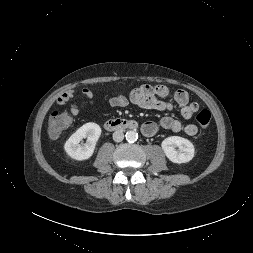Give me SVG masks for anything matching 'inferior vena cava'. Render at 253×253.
Returning a JSON list of instances; mask_svg holds the SVG:
<instances>
[{
    "mask_svg": "<svg viewBox=\"0 0 253 253\" xmlns=\"http://www.w3.org/2000/svg\"><path fill=\"white\" fill-rule=\"evenodd\" d=\"M124 139V133L120 130L113 133V140L115 142H121Z\"/></svg>",
    "mask_w": 253,
    "mask_h": 253,
    "instance_id": "1",
    "label": "inferior vena cava"
}]
</instances>
